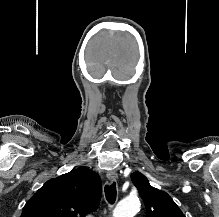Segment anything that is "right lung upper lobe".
I'll return each instance as SVG.
<instances>
[{
    "label": "right lung upper lobe",
    "instance_id": "cb5924a9",
    "mask_svg": "<svg viewBox=\"0 0 219 217\" xmlns=\"http://www.w3.org/2000/svg\"><path fill=\"white\" fill-rule=\"evenodd\" d=\"M101 192L97 173L73 169L47 181L26 203L21 217H85L97 209Z\"/></svg>",
    "mask_w": 219,
    "mask_h": 217
}]
</instances>
